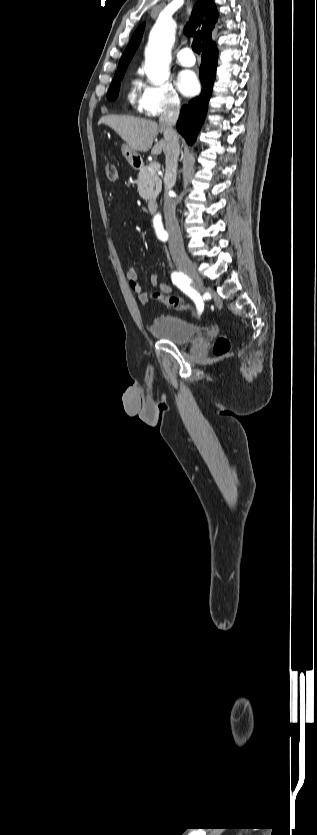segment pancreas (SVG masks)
I'll return each mask as SVG.
<instances>
[{
    "mask_svg": "<svg viewBox=\"0 0 317 835\" xmlns=\"http://www.w3.org/2000/svg\"><path fill=\"white\" fill-rule=\"evenodd\" d=\"M149 166H144L140 169L137 185L139 195L147 201H155L161 191V179L156 174V171H149Z\"/></svg>",
    "mask_w": 317,
    "mask_h": 835,
    "instance_id": "cf45deb5",
    "label": "pancreas"
}]
</instances>
